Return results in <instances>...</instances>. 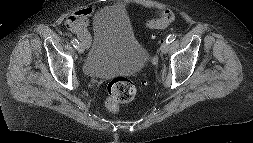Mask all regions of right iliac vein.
Segmentation results:
<instances>
[{"label":"right iliac vein","mask_w":253,"mask_h":143,"mask_svg":"<svg viewBox=\"0 0 253 143\" xmlns=\"http://www.w3.org/2000/svg\"><path fill=\"white\" fill-rule=\"evenodd\" d=\"M77 51L79 53H83L85 51V45L83 43H79L77 46Z\"/></svg>","instance_id":"63e3f726"}]
</instances>
